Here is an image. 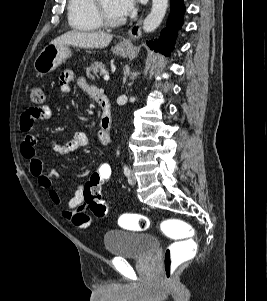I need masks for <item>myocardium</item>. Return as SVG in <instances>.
Masks as SVG:
<instances>
[{"label": "myocardium", "mask_w": 267, "mask_h": 301, "mask_svg": "<svg viewBox=\"0 0 267 301\" xmlns=\"http://www.w3.org/2000/svg\"><path fill=\"white\" fill-rule=\"evenodd\" d=\"M94 7H95L97 18L103 26L117 27L124 23L123 19L109 18L101 5V0H94Z\"/></svg>", "instance_id": "1"}]
</instances>
